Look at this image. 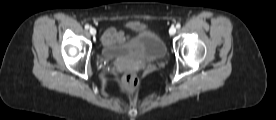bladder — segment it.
<instances>
[{"label": "bladder", "instance_id": "obj_1", "mask_svg": "<svg viewBox=\"0 0 276 120\" xmlns=\"http://www.w3.org/2000/svg\"><path fill=\"white\" fill-rule=\"evenodd\" d=\"M131 32L128 40L122 43L104 45L102 55L109 58L139 55L146 58H162L167 53L166 44L158 33L139 21L126 24Z\"/></svg>", "mask_w": 276, "mask_h": 120}]
</instances>
